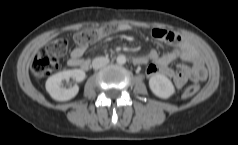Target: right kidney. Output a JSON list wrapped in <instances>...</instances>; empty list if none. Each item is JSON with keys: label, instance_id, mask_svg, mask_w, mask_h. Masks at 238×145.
Instances as JSON below:
<instances>
[{"label": "right kidney", "instance_id": "obj_1", "mask_svg": "<svg viewBox=\"0 0 238 145\" xmlns=\"http://www.w3.org/2000/svg\"><path fill=\"white\" fill-rule=\"evenodd\" d=\"M85 77V72L81 69L61 71L48 78L46 81V90L50 96L57 101L70 100L77 95L79 87L74 85L66 89L62 86V81L73 78L77 82H81Z\"/></svg>", "mask_w": 238, "mask_h": 145}]
</instances>
